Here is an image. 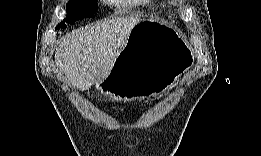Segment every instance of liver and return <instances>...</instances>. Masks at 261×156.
Returning a JSON list of instances; mask_svg holds the SVG:
<instances>
[{
  "instance_id": "6515ba94",
  "label": "liver",
  "mask_w": 261,
  "mask_h": 156,
  "mask_svg": "<svg viewBox=\"0 0 261 156\" xmlns=\"http://www.w3.org/2000/svg\"><path fill=\"white\" fill-rule=\"evenodd\" d=\"M140 21L136 16L117 17L73 30L59 42L55 52L57 67L73 87L88 90L110 74Z\"/></svg>"
}]
</instances>
